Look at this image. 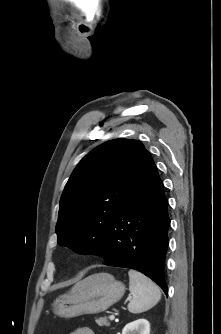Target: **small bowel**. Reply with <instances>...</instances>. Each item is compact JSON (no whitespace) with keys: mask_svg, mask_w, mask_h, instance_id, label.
Segmentation results:
<instances>
[{"mask_svg":"<svg viewBox=\"0 0 221 334\" xmlns=\"http://www.w3.org/2000/svg\"><path fill=\"white\" fill-rule=\"evenodd\" d=\"M70 334H94V332L88 327H80L71 332Z\"/></svg>","mask_w":221,"mask_h":334,"instance_id":"small-bowel-1","label":"small bowel"}]
</instances>
